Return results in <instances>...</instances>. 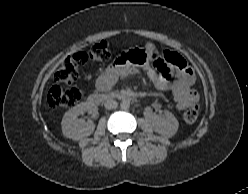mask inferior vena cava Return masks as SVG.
Returning <instances> with one entry per match:
<instances>
[{
  "mask_svg": "<svg viewBox=\"0 0 248 194\" xmlns=\"http://www.w3.org/2000/svg\"><path fill=\"white\" fill-rule=\"evenodd\" d=\"M104 106L106 109L111 110V109L117 108L118 104L115 100L109 99V100L105 101Z\"/></svg>",
  "mask_w": 248,
  "mask_h": 194,
  "instance_id": "1",
  "label": "inferior vena cava"
}]
</instances>
